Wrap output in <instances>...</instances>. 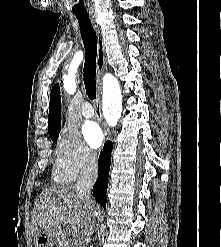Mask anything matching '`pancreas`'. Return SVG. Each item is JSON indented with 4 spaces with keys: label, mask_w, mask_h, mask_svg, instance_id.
<instances>
[{
    "label": "pancreas",
    "mask_w": 221,
    "mask_h": 247,
    "mask_svg": "<svg viewBox=\"0 0 221 247\" xmlns=\"http://www.w3.org/2000/svg\"><path fill=\"white\" fill-rule=\"evenodd\" d=\"M57 247H71V243L69 242V240L61 238V240L58 242Z\"/></svg>",
    "instance_id": "obj_1"
}]
</instances>
